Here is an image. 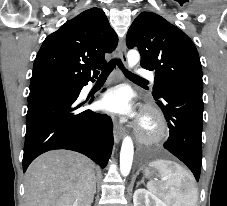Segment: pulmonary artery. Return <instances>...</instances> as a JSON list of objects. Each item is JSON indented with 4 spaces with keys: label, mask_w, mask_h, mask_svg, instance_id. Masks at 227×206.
<instances>
[{
    "label": "pulmonary artery",
    "mask_w": 227,
    "mask_h": 206,
    "mask_svg": "<svg viewBox=\"0 0 227 206\" xmlns=\"http://www.w3.org/2000/svg\"><path fill=\"white\" fill-rule=\"evenodd\" d=\"M138 75L145 78H152V73L145 69L138 70ZM93 85L94 83H89L87 88H91Z\"/></svg>",
    "instance_id": "obj_1"
}]
</instances>
